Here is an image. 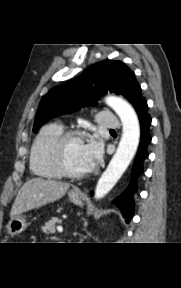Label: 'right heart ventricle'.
Wrapping results in <instances>:
<instances>
[{
    "instance_id": "obj_1",
    "label": "right heart ventricle",
    "mask_w": 181,
    "mask_h": 288,
    "mask_svg": "<svg viewBox=\"0 0 181 288\" xmlns=\"http://www.w3.org/2000/svg\"><path fill=\"white\" fill-rule=\"evenodd\" d=\"M64 132L59 123L42 127L30 151V169L36 176L44 179H59L63 175L57 169L53 158V147L57 138Z\"/></svg>"
}]
</instances>
